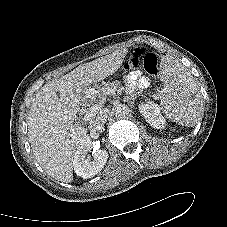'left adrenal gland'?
I'll return each instance as SVG.
<instances>
[{"mask_svg": "<svg viewBox=\"0 0 227 227\" xmlns=\"http://www.w3.org/2000/svg\"><path fill=\"white\" fill-rule=\"evenodd\" d=\"M134 96H136V94L125 97V101L128 102L129 100H134Z\"/></svg>", "mask_w": 227, "mask_h": 227, "instance_id": "1", "label": "left adrenal gland"}]
</instances>
